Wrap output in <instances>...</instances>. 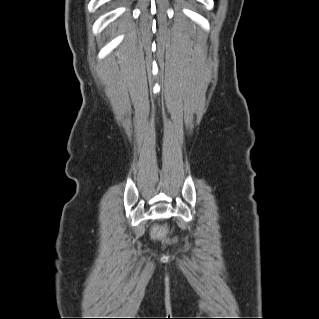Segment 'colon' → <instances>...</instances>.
Wrapping results in <instances>:
<instances>
[{
    "label": "colon",
    "instance_id": "colon-1",
    "mask_svg": "<svg viewBox=\"0 0 319 319\" xmlns=\"http://www.w3.org/2000/svg\"><path fill=\"white\" fill-rule=\"evenodd\" d=\"M152 236L154 237V238H162L163 236H164V234L162 233V232H154L153 234H152Z\"/></svg>",
    "mask_w": 319,
    "mask_h": 319
}]
</instances>
